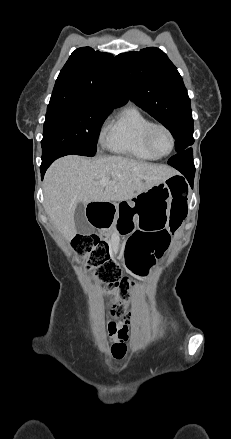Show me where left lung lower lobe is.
Instances as JSON below:
<instances>
[{"instance_id": "0a47b994", "label": "left lung lower lobe", "mask_w": 231, "mask_h": 439, "mask_svg": "<svg viewBox=\"0 0 231 439\" xmlns=\"http://www.w3.org/2000/svg\"><path fill=\"white\" fill-rule=\"evenodd\" d=\"M168 164L180 171L186 177L190 185H193L195 167L191 148H187L171 157L168 160Z\"/></svg>"}]
</instances>
